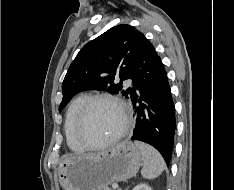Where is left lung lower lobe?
I'll use <instances>...</instances> for the list:
<instances>
[{"instance_id":"obj_1","label":"left lung lower lobe","mask_w":234,"mask_h":190,"mask_svg":"<svg viewBox=\"0 0 234 190\" xmlns=\"http://www.w3.org/2000/svg\"><path fill=\"white\" fill-rule=\"evenodd\" d=\"M133 84L129 98L136 126L131 139L155 147L169 165L176 127L175 107L163 63L146 38L140 43Z\"/></svg>"}]
</instances>
